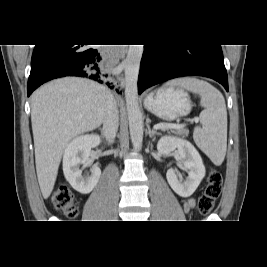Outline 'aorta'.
<instances>
[{
  "label": "aorta",
  "instance_id": "762f6f07",
  "mask_svg": "<svg viewBox=\"0 0 267 267\" xmlns=\"http://www.w3.org/2000/svg\"><path fill=\"white\" fill-rule=\"evenodd\" d=\"M143 45H129L124 61L125 67V99L129 120V130L134 150L142 147L143 122L138 103V75L143 55Z\"/></svg>",
  "mask_w": 267,
  "mask_h": 267
}]
</instances>
